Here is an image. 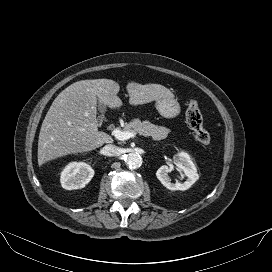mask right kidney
Instances as JSON below:
<instances>
[{
  "label": "right kidney",
  "mask_w": 272,
  "mask_h": 272,
  "mask_svg": "<svg viewBox=\"0 0 272 272\" xmlns=\"http://www.w3.org/2000/svg\"><path fill=\"white\" fill-rule=\"evenodd\" d=\"M94 176L92 167L84 162H71L61 172V185L66 190L81 189Z\"/></svg>",
  "instance_id": "right-kidney-1"
}]
</instances>
